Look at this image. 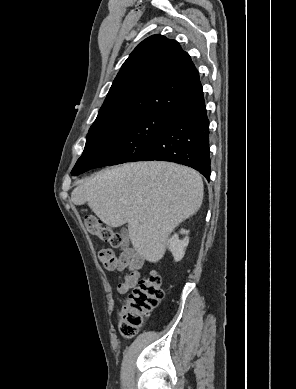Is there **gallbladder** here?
Masks as SVG:
<instances>
[{
  "label": "gallbladder",
  "mask_w": 296,
  "mask_h": 389,
  "mask_svg": "<svg viewBox=\"0 0 296 389\" xmlns=\"http://www.w3.org/2000/svg\"><path fill=\"white\" fill-rule=\"evenodd\" d=\"M121 235H122V237H123V238H126V237H127V235H128V231H127V229H125V228H122V230H121Z\"/></svg>",
  "instance_id": "1"
}]
</instances>
